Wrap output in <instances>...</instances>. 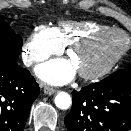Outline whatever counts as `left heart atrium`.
<instances>
[{
	"mask_svg": "<svg viewBox=\"0 0 131 131\" xmlns=\"http://www.w3.org/2000/svg\"><path fill=\"white\" fill-rule=\"evenodd\" d=\"M38 76L52 84H63L70 81L76 73V67L67 59L49 61L36 70Z\"/></svg>",
	"mask_w": 131,
	"mask_h": 131,
	"instance_id": "1",
	"label": "left heart atrium"
}]
</instances>
